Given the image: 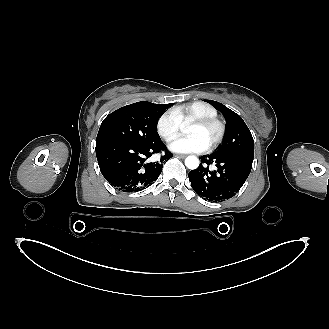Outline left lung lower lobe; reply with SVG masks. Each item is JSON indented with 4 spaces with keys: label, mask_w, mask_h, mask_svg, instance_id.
Masks as SVG:
<instances>
[{
    "label": "left lung lower lobe",
    "mask_w": 329,
    "mask_h": 329,
    "mask_svg": "<svg viewBox=\"0 0 329 329\" xmlns=\"http://www.w3.org/2000/svg\"><path fill=\"white\" fill-rule=\"evenodd\" d=\"M197 169L189 172L188 177L193 190L202 198L222 202L232 198L243 186L252 168L253 159L212 153L202 156ZM217 169L210 171V164Z\"/></svg>",
    "instance_id": "left-lung-lower-lobe-1"
}]
</instances>
